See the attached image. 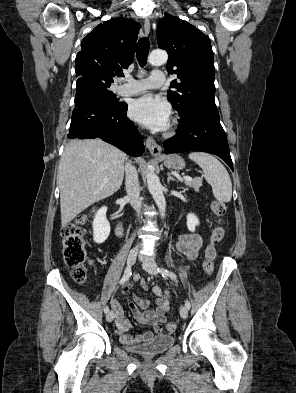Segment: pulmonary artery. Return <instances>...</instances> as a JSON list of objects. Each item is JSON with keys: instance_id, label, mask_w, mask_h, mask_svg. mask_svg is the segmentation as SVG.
<instances>
[{"instance_id": "e3ab8cb5", "label": "pulmonary artery", "mask_w": 296, "mask_h": 393, "mask_svg": "<svg viewBox=\"0 0 296 393\" xmlns=\"http://www.w3.org/2000/svg\"><path fill=\"white\" fill-rule=\"evenodd\" d=\"M124 83L117 90L123 95H135L148 89L158 88L165 83V75L161 71H154L149 77L134 79L129 75L124 77Z\"/></svg>"}]
</instances>
